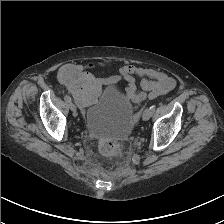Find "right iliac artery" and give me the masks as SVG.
Listing matches in <instances>:
<instances>
[{
    "label": "right iliac artery",
    "instance_id": "right-iliac-artery-1",
    "mask_svg": "<svg viewBox=\"0 0 224 224\" xmlns=\"http://www.w3.org/2000/svg\"><path fill=\"white\" fill-rule=\"evenodd\" d=\"M64 99H65L66 102H71V98L68 95H65Z\"/></svg>",
    "mask_w": 224,
    "mask_h": 224
}]
</instances>
